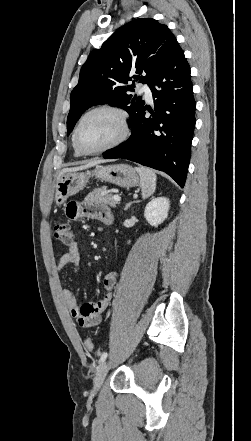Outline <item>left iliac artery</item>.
<instances>
[{"label":"left iliac artery","instance_id":"1","mask_svg":"<svg viewBox=\"0 0 251 441\" xmlns=\"http://www.w3.org/2000/svg\"><path fill=\"white\" fill-rule=\"evenodd\" d=\"M107 352H104L102 355H101V357H100V360H99V363L101 364V363H103L104 361H105V359L107 358Z\"/></svg>","mask_w":251,"mask_h":441}]
</instances>
